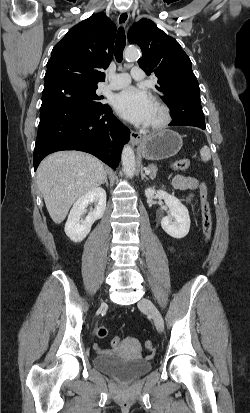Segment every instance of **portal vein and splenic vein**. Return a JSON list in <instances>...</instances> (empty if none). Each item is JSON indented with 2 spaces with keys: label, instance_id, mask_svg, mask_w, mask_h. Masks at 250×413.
Masks as SVG:
<instances>
[{
  "label": "portal vein and splenic vein",
  "instance_id": "1",
  "mask_svg": "<svg viewBox=\"0 0 250 413\" xmlns=\"http://www.w3.org/2000/svg\"><path fill=\"white\" fill-rule=\"evenodd\" d=\"M145 170H146V173H147V174H150V171H149L148 169L145 168Z\"/></svg>",
  "mask_w": 250,
  "mask_h": 413
}]
</instances>
